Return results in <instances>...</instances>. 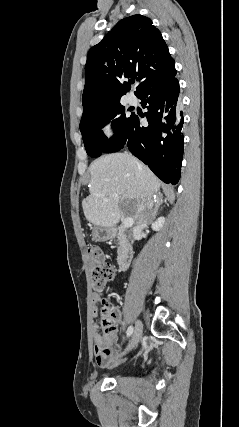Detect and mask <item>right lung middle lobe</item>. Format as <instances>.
Segmentation results:
<instances>
[{
	"mask_svg": "<svg viewBox=\"0 0 239 427\" xmlns=\"http://www.w3.org/2000/svg\"><path fill=\"white\" fill-rule=\"evenodd\" d=\"M115 134L108 139L101 130L110 119ZM133 114L126 116L125 107L119 101L99 105L82 116L80 131L86 152L96 158L102 153H112L123 147Z\"/></svg>",
	"mask_w": 239,
	"mask_h": 427,
	"instance_id": "1",
	"label": "right lung middle lobe"
}]
</instances>
